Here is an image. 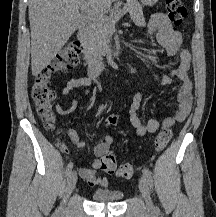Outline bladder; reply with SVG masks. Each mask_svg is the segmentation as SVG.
<instances>
[{
	"label": "bladder",
	"instance_id": "31cf9c89",
	"mask_svg": "<svg viewBox=\"0 0 216 217\" xmlns=\"http://www.w3.org/2000/svg\"><path fill=\"white\" fill-rule=\"evenodd\" d=\"M124 197L123 192L114 190H97L92 193V199L96 202H118Z\"/></svg>",
	"mask_w": 216,
	"mask_h": 217
}]
</instances>
